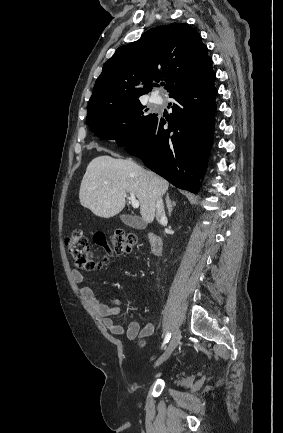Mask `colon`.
Returning a JSON list of instances; mask_svg holds the SVG:
<instances>
[{"label":"colon","mask_w":283,"mask_h":433,"mask_svg":"<svg viewBox=\"0 0 283 433\" xmlns=\"http://www.w3.org/2000/svg\"><path fill=\"white\" fill-rule=\"evenodd\" d=\"M95 242L103 251L99 257L92 255L88 238L83 231L76 229L66 239L67 250L77 267L88 271L101 268L108 261L109 256L129 252L136 242V237L117 230L110 240H107L104 235H97Z\"/></svg>","instance_id":"obj_1"}]
</instances>
